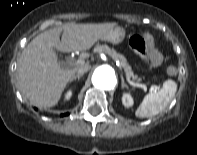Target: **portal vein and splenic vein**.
I'll return each mask as SVG.
<instances>
[{"mask_svg": "<svg viewBox=\"0 0 197 155\" xmlns=\"http://www.w3.org/2000/svg\"><path fill=\"white\" fill-rule=\"evenodd\" d=\"M76 65H79V64H83V61L82 60H77L75 62ZM127 82L132 85V86H136V87H139V88H142L144 89L145 91L147 90V86L145 84H140V83H135L133 81H131L127 76L125 77ZM159 86L158 85H154V84H150V90L151 91H154L156 92L157 90H159Z\"/></svg>", "mask_w": 197, "mask_h": 155, "instance_id": "portal-vein-and-splenic-vein-1", "label": "portal vein and splenic vein"}]
</instances>
